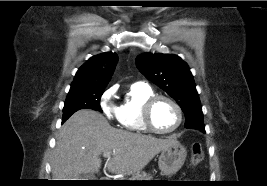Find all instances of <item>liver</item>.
<instances>
[{"instance_id":"1","label":"liver","mask_w":267,"mask_h":186,"mask_svg":"<svg viewBox=\"0 0 267 186\" xmlns=\"http://www.w3.org/2000/svg\"><path fill=\"white\" fill-rule=\"evenodd\" d=\"M176 140L132 133L110 126L99 112L83 109L61 127L53 152V180H79L83 174L98 172L100 155L112 152L108 171L131 175L142 169Z\"/></svg>"}]
</instances>
